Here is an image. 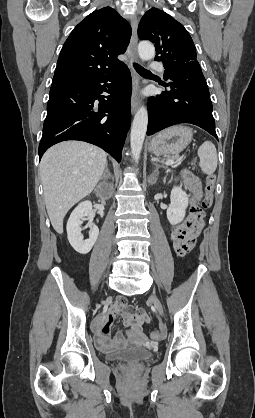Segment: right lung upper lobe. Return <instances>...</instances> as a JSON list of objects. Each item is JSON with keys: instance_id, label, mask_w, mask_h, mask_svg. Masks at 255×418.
<instances>
[{"instance_id": "1", "label": "right lung upper lobe", "mask_w": 255, "mask_h": 418, "mask_svg": "<svg viewBox=\"0 0 255 418\" xmlns=\"http://www.w3.org/2000/svg\"><path fill=\"white\" fill-rule=\"evenodd\" d=\"M131 27L113 8L89 14L65 41L53 83H63L115 73L125 66L117 56L129 44Z\"/></svg>"}]
</instances>
